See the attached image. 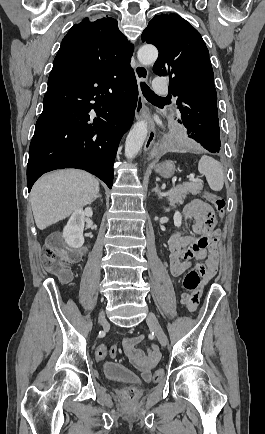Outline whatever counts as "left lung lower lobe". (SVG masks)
I'll return each instance as SVG.
<instances>
[{"label":"left lung lower lobe","instance_id":"left-lung-lower-lobe-1","mask_svg":"<svg viewBox=\"0 0 265 434\" xmlns=\"http://www.w3.org/2000/svg\"><path fill=\"white\" fill-rule=\"evenodd\" d=\"M189 138L200 144L211 153H218L221 150L220 129L210 130L205 128L188 129Z\"/></svg>","mask_w":265,"mask_h":434}]
</instances>
